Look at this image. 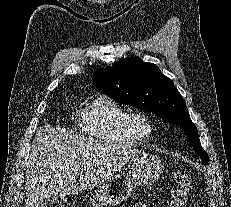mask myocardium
I'll return each instance as SVG.
<instances>
[{"instance_id":"myocardium-1","label":"myocardium","mask_w":231,"mask_h":207,"mask_svg":"<svg viewBox=\"0 0 231 207\" xmlns=\"http://www.w3.org/2000/svg\"><path fill=\"white\" fill-rule=\"evenodd\" d=\"M129 122L134 134L141 140L148 139L153 133V122L150 115L142 110L129 114Z\"/></svg>"}]
</instances>
